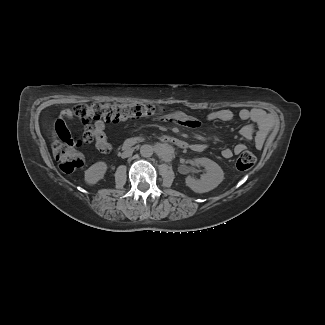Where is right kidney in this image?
<instances>
[{"label":"right kidney","mask_w":325,"mask_h":325,"mask_svg":"<svg viewBox=\"0 0 325 325\" xmlns=\"http://www.w3.org/2000/svg\"><path fill=\"white\" fill-rule=\"evenodd\" d=\"M107 171L105 162H97L85 171V181L89 185L96 184L101 180Z\"/></svg>","instance_id":"ca27d5eb"}]
</instances>
